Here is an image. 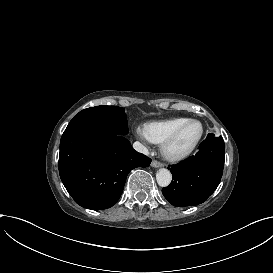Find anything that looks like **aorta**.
<instances>
[{
	"label": "aorta",
	"instance_id": "aorta-1",
	"mask_svg": "<svg viewBox=\"0 0 273 273\" xmlns=\"http://www.w3.org/2000/svg\"><path fill=\"white\" fill-rule=\"evenodd\" d=\"M156 180L159 186L167 187L172 181V175L169 170L161 168L156 173Z\"/></svg>",
	"mask_w": 273,
	"mask_h": 273
}]
</instances>
